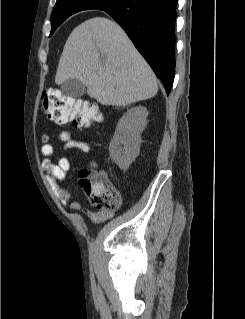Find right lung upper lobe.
I'll return each instance as SVG.
<instances>
[{"label": "right lung upper lobe", "instance_id": "cb5924a9", "mask_svg": "<svg viewBox=\"0 0 245 319\" xmlns=\"http://www.w3.org/2000/svg\"><path fill=\"white\" fill-rule=\"evenodd\" d=\"M57 1H59V0H57ZM67 1L75 2V3H73V5H72V9H71L72 14H74V13H76V12H79V11H82L81 7L78 6V5H79L80 2H82L83 0H67ZM105 9H107V8H105ZM101 10H103V9H101Z\"/></svg>", "mask_w": 245, "mask_h": 319}]
</instances>
